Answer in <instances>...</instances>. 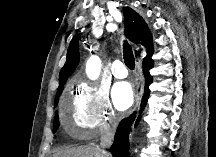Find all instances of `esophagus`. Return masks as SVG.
<instances>
[{"instance_id":"34e87169","label":"esophagus","mask_w":216,"mask_h":157,"mask_svg":"<svg viewBox=\"0 0 216 157\" xmlns=\"http://www.w3.org/2000/svg\"><path fill=\"white\" fill-rule=\"evenodd\" d=\"M138 68H139V71L141 72L140 62L138 63ZM142 90H143L142 84H138L137 89H136V93H135V107L134 108L139 107V105H140Z\"/></svg>"}]
</instances>
